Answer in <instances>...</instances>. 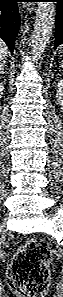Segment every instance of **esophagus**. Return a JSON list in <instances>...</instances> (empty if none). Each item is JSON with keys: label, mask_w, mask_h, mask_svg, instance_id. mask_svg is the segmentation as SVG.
<instances>
[{"label": "esophagus", "mask_w": 63, "mask_h": 297, "mask_svg": "<svg viewBox=\"0 0 63 297\" xmlns=\"http://www.w3.org/2000/svg\"><path fill=\"white\" fill-rule=\"evenodd\" d=\"M26 8H27V10H31L32 9V6L26 5Z\"/></svg>", "instance_id": "esophagus-1"}]
</instances>
